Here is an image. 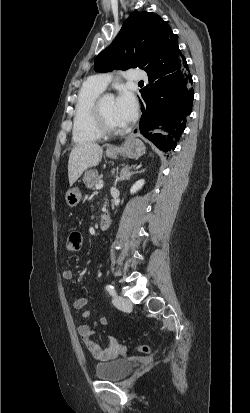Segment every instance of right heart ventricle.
I'll list each match as a JSON object with an SVG mask.
<instances>
[{"mask_svg":"<svg viewBox=\"0 0 250 413\" xmlns=\"http://www.w3.org/2000/svg\"><path fill=\"white\" fill-rule=\"evenodd\" d=\"M103 91L104 89L96 85L92 79L86 81L79 90L72 129L73 140L76 144L92 143L102 137L95 122L93 108L96 99Z\"/></svg>","mask_w":250,"mask_h":413,"instance_id":"e07e8e85","label":"right heart ventricle"}]
</instances>
